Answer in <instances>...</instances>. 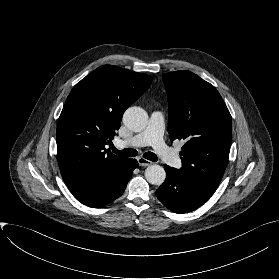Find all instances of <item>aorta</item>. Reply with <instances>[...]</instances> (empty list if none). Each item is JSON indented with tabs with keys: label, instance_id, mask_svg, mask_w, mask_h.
Instances as JSON below:
<instances>
[{
	"label": "aorta",
	"instance_id": "1",
	"mask_svg": "<svg viewBox=\"0 0 279 279\" xmlns=\"http://www.w3.org/2000/svg\"><path fill=\"white\" fill-rule=\"evenodd\" d=\"M148 122L146 111L140 107H130L123 115L124 125L131 131L140 132L145 129ZM166 177L165 170L160 165H150L145 170L146 180L153 185H161Z\"/></svg>",
	"mask_w": 279,
	"mask_h": 279
}]
</instances>
